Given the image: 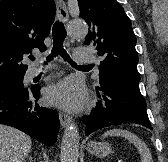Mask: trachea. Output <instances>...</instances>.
Segmentation results:
<instances>
[{"mask_svg": "<svg viewBox=\"0 0 168 162\" xmlns=\"http://www.w3.org/2000/svg\"><path fill=\"white\" fill-rule=\"evenodd\" d=\"M53 34V48L50 56L47 57V61L52 60L54 57L60 55L65 61H68L72 66H77L74 61L71 60L69 55L66 53L63 43L66 37V30L62 22L56 21L52 30ZM34 60V56L29 57ZM77 67H92V65H80Z\"/></svg>", "mask_w": 168, "mask_h": 162, "instance_id": "1", "label": "trachea"}]
</instances>
